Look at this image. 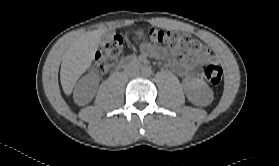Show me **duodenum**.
Segmentation results:
<instances>
[{"mask_svg": "<svg viewBox=\"0 0 279 166\" xmlns=\"http://www.w3.org/2000/svg\"><path fill=\"white\" fill-rule=\"evenodd\" d=\"M144 62L141 60L133 59V58H124L120 63L118 64V68L120 69H126L131 67H139L143 66Z\"/></svg>", "mask_w": 279, "mask_h": 166, "instance_id": "1", "label": "duodenum"}]
</instances>
